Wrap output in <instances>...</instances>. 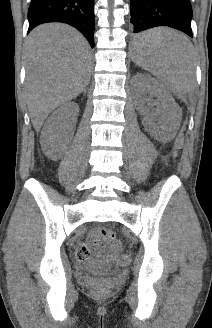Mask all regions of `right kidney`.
<instances>
[{
	"label": "right kidney",
	"mask_w": 212,
	"mask_h": 328,
	"mask_svg": "<svg viewBox=\"0 0 212 328\" xmlns=\"http://www.w3.org/2000/svg\"><path fill=\"white\" fill-rule=\"evenodd\" d=\"M78 113L79 106L75 102L67 103L54 111L41 132L42 145L48 146L57 140L69 141L75 129Z\"/></svg>",
	"instance_id": "obj_1"
}]
</instances>
